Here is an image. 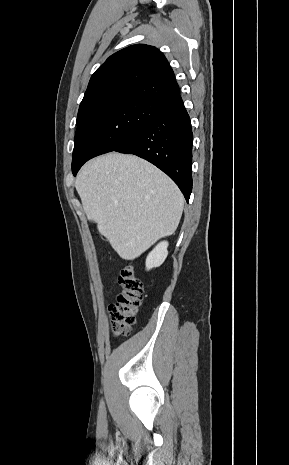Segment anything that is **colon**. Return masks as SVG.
I'll use <instances>...</instances> for the list:
<instances>
[{"label":"colon","instance_id":"1","mask_svg":"<svg viewBox=\"0 0 289 465\" xmlns=\"http://www.w3.org/2000/svg\"><path fill=\"white\" fill-rule=\"evenodd\" d=\"M117 282L120 292L109 306L113 333L117 337L127 336L135 323L138 307L143 296V284L135 275L131 265L125 266L119 273Z\"/></svg>","mask_w":289,"mask_h":465}]
</instances>
